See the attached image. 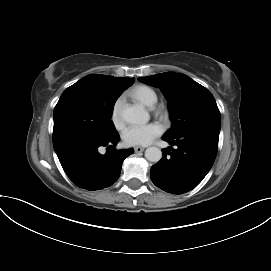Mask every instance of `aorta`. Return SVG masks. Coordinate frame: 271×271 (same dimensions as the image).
I'll return each instance as SVG.
<instances>
[{"label": "aorta", "instance_id": "762f6f07", "mask_svg": "<svg viewBox=\"0 0 271 271\" xmlns=\"http://www.w3.org/2000/svg\"><path fill=\"white\" fill-rule=\"evenodd\" d=\"M122 118L130 124H140L149 121V114L141 105L126 106L122 110ZM145 158L150 162H159L162 158V151L157 147H149L145 151Z\"/></svg>", "mask_w": 271, "mask_h": 271}]
</instances>
